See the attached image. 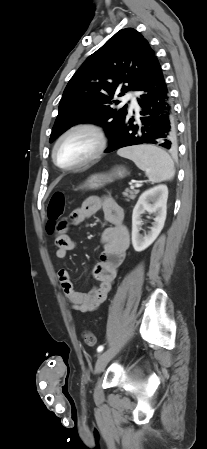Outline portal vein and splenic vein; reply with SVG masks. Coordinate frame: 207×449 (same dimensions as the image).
I'll list each match as a JSON object with an SVG mask.
<instances>
[{"mask_svg": "<svg viewBox=\"0 0 207 449\" xmlns=\"http://www.w3.org/2000/svg\"><path fill=\"white\" fill-rule=\"evenodd\" d=\"M134 187H141V184L140 183H136L135 186H131V188H134Z\"/></svg>", "mask_w": 207, "mask_h": 449, "instance_id": "obj_1", "label": "portal vein and splenic vein"}]
</instances>
